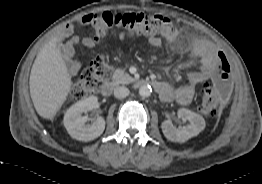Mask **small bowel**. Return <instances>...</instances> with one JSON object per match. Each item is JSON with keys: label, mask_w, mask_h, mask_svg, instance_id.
Here are the masks:
<instances>
[{"label": "small bowel", "mask_w": 262, "mask_h": 184, "mask_svg": "<svg viewBox=\"0 0 262 184\" xmlns=\"http://www.w3.org/2000/svg\"><path fill=\"white\" fill-rule=\"evenodd\" d=\"M73 31L72 25H67L63 33V37L67 38ZM125 33H120L119 39L123 40ZM163 38L170 43H174L178 39V31L175 28H171L168 32L163 34ZM82 45L86 48H93L95 41L92 38L86 37L81 41ZM148 44L155 49H161L163 46L162 39L160 37H149ZM75 40L68 39L64 45V53L71 56L74 51ZM188 47L192 55L199 59L200 70L190 73L188 82L180 87L174 88L167 82H159L157 91L160 99L164 102L176 101L181 105H188L191 103L196 87L205 81L211 80V75L216 70L218 63L215 53L217 49L210 43L201 40H188ZM79 63H73L71 66V72L77 73L79 70Z\"/></svg>", "instance_id": "c3829d8e"}]
</instances>
